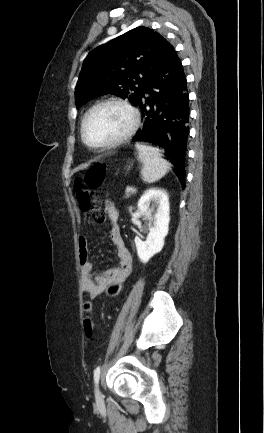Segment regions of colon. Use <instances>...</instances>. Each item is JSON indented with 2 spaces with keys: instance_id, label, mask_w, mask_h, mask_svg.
Wrapping results in <instances>:
<instances>
[{
  "instance_id": "obj_1",
  "label": "colon",
  "mask_w": 264,
  "mask_h": 433,
  "mask_svg": "<svg viewBox=\"0 0 264 433\" xmlns=\"http://www.w3.org/2000/svg\"><path fill=\"white\" fill-rule=\"evenodd\" d=\"M106 168L102 164L91 166L84 174V183L89 188L100 187L105 180ZM76 197L83 211L85 220L90 225H98L105 221V213L101 208V200L98 196L83 188L82 184L78 182L75 187ZM122 283L114 282L110 284L106 289V294L109 297H116L122 291ZM84 309L89 316L92 309V303L90 300H86L84 303Z\"/></svg>"
}]
</instances>
